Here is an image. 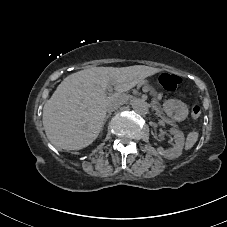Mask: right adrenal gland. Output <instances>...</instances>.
<instances>
[{
  "label": "right adrenal gland",
  "instance_id": "obj_1",
  "mask_svg": "<svg viewBox=\"0 0 227 227\" xmlns=\"http://www.w3.org/2000/svg\"><path fill=\"white\" fill-rule=\"evenodd\" d=\"M110 115H111V114H109V115H107V116L105 117L104 122H103V126H104V124L106 123V121H107V119L109 118Z\"/></svg>",
  "mask_w": 227,
  "mask_h": 227
}]
</instances>
